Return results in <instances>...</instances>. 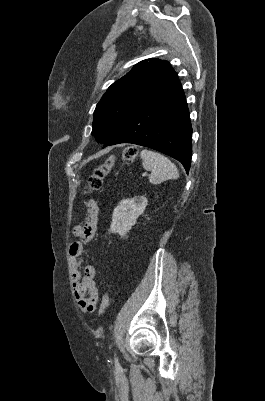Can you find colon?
Listing matches in <instances>:
<instances>
[{
	"label": "colon",
	"instance_id": "obj_1",
	"mask_svg": "<svg viewBox=\"0 0 265 401\" xmlns=\"http://www.w3.org/2000/svg\"><path fill=\"white\" fill-rule=\"evenodd\" d=\"M137 155V150L135 147H126L123 150V159L125 162H132ZM114 166V158L108 157L102 164H100L90 175L86 186V192H93L99 190L104 182L106 176L110 173ZM109 305V293L107 290L104 291L101 306H100V314L103 315Z\"/></svg>",
	"mask_w": 265,
	"mask_h": 401
}]
</instances>
